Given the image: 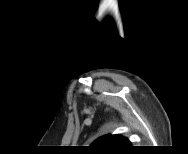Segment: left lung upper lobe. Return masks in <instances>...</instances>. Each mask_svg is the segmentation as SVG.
<instances>
[{"label":"left lung upper lobe","instance_id":"obj_1","mask_svg":"<svg viewBox=\"0 0 188 154\" xmlns=\"http://www.w3.org/2000/svg\"><path fill=\"white\" fill-rule=\"evenodd\" d=\"M130 146V141L120 135H106L97 139L92 147L95 149H111L118 150Z\"/></svg>","mask_w":188,"mask_h":154}]
</instances>
